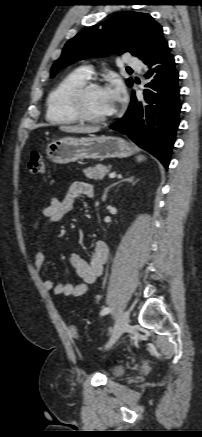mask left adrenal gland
Masks as SVG:
<instances>
[{
    "label": "left adrenal gland",
    "instance_id": "left-adrenal-gland-1",
    "mask_svg": "<svg viewBox=\"0 0 202 437\" xmlns=\"http://www.w3.org/2000/svg\"><path fill=\"white\" fill-rule=\"evenodd\" d=\"M125 181H128V182H130V183H133V182H134V177H130V178H127V179H122V180H120V181H118V182H116V183H113V184H111L110 186H108V187L105 189V192H104V195H103V200H106L107 193H108V191L110 190V188H112L113 186H115V185H117V184H119V183H121V182H125Z\"/></svg>",
    "mask_w": 202,
    "mask_h": 437
}]
</instances>
